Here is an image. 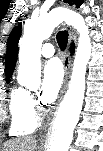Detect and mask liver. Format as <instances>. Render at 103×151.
<instances>
[{"label":"liver","mask_w":103,"mask_h":151,"mask_svg":"<svg viewBox=\"0 0 103 151\" xmlns=\"http://www.w3.org/2000/svg\"><path fill=\"white\" fill-rule=\"evenodd\" d=\"M37 141L33 136L13 138L2 144L0 151H36Z\"/></svg>","instance_id":"liver-1"}]
</instances>
